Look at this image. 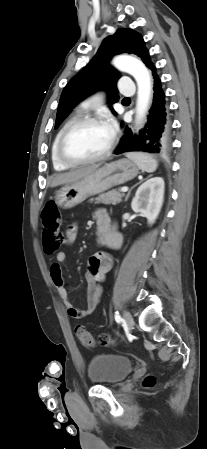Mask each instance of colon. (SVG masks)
<instances>
[{"label": "colon", "instance_id": "obj_1", "mask_svg": "<svg viewBox=\"0 0 207 449\" xmlns=\"http://www.w3.org/2000/svg\"><path fill=\"white\" fill-rule=\"evenodd\" d=\"M41 219L43 225L42 244L46 254L55 253L61 245L65 242L64 236L60 231L61 214L53 202H48L42 212ZM77 338L81 343L88 347H94L96 340L94 337L82 326L75 328ZM100 341L104 344L109 343V338L106 335L100 336ZM155 383V378L148 375L144 380L146 387H151Z\"/></svg>", "mask_w": 207, "mask_h": 449}]
</instances>
